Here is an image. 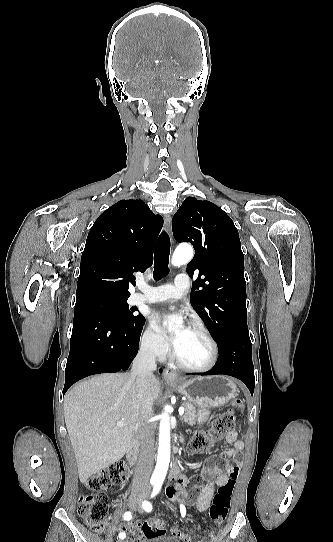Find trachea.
I'll list each match as a JSON object with an SVG mask.
<instances>
[{
    "instance_id": "1",
    "label": "trachea",
    "mask_w": 333,
    "mask_h": 542,
    "mask_svg": "<svg viewBox=\"0 0 333 542\" xmlns=\"http://www.w3.org/2000/svg\"><path fill=\"white\" fill-rule=\"evenodd\" d=\"M170 254V238L168 234L163 231L155 247L154 253V279L159 280L161 277L168 273V261Z\"/></svg>"
}]
</instances>
